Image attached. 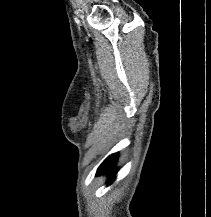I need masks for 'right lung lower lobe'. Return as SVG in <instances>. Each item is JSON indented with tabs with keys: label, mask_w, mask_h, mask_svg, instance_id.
I'll list each match as a JSON object with an SVG mask.
<instances>
[{
	"label": "right lung lower lobe",
	"mask_w": 211,
	"mask_h": 217,
	"mask_svg": "<svg viewBox=\"0 0 211 217\" xmlns=\"http://www.w3.org/2000/svg\"><path fill=\"white\" fill-rule=\"evenodd\" d=\"M118 154H112L110 155L98 168L97 175H101L103 173L110 172V178H109V184L113 182V178L116 174L115 169L112 168V166L115 164L117 160Z\"/></svg>",
	"instance_id": "right-lung-lower-lobe-1"
}]
</instances>
